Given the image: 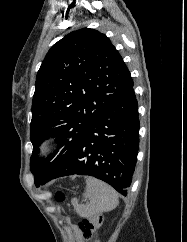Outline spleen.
<instances>
[{"label": "spleen", "instance_id": "obj_1", "mask_svg": "<svg viewBox=\"0 0 187 242\" xmlns=\"http://www.w3.org/2000/svg\"><path fill=\"white\" fill-rule=\"evenodd\" d=\"M85 200L86 205L79 204L75 199L72 201L75 211L81 217H91L103 212H109L118 205V194L108 184L93 177L86 179Z\"/></svg>", "mask_w": 187, "mask_h": 242}]
</instances>
